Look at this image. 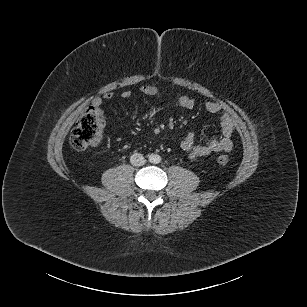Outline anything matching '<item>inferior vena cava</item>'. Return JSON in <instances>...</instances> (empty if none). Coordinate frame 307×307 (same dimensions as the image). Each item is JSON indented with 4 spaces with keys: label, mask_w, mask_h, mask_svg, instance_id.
<instances>
[{
    "label": "inferior vena cava",
    "mask_w": 307,
    "mask_h": 307,
    "mask_svg": "<svg viewBox=\"0 0 307 307\" xmlns=\"http://www.w3.org/2000/svg\"><path fill=\"white\" fill-rule=\"evenodd\" d=\"M130 162L134 166H142L145 164V158L141 153H133L130 157Z\"/></svg>",
    "instance_id": "602c4592"
}]
</instances>
